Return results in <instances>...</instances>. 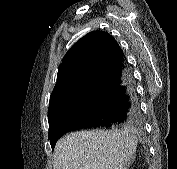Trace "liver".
I'll return each mask as SVG.
<instances>
[{
	"label": "liver",
	"instance_id": "liver-1",
	"mask_svg": "<svg viewBox=\"0 0 177 169\" xmlns=\"http://www.w3.org/2000/svg\"><path fill=\"white\" fill-rule=\"evenodd\" d=\"M137 142L134 130L128 127L70 133L56 143L53 169H127Z\"/></svg>",
	"mask_w": 177,
	"mask_h": 169
}]
</instances>
